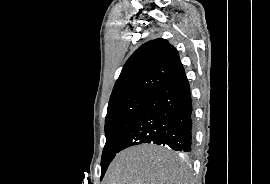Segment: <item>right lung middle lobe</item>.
I'll return each instance as SVG.
<instances>
[{
  "label": "right lung middle lobe",
  "instance_id": "obj_1",
  "mask_svg": "<svg viewBox=\"0 0 270 184\" xmlns=\"http://www.w3.org/2000/svg\"><path fill=\"white\" fill-rule=\"evenodd\" d=\"M149 96L134 95L122 100L110 102L105 119L106 144L101 159V179L108 165L119 152L120 144L130 130L134 120Z\"/></svg>",
  "mask_w": 270,
  "mask_h": 184
}]
</instances>
